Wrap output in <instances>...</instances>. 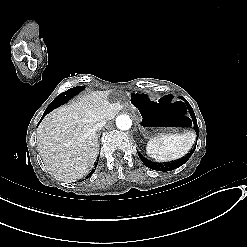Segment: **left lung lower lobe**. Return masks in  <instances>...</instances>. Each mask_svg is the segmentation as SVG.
<instances>
[{
  "label": "left lung lower lobe",
  "instance_id": "obj_1",
  "mask_svg": "<svg viewBox=\"0 0 247 247\" xmlns=\"http://www.w3.org/2000/svg\"><path fill=\"white\" fill-rule=\"evenodd\" d=\"M188 109H189L191 117L193 119L195 131L197 133V138H198L199 130H198L196 117H195V114H194L192 107L189 104H188ZM195 147H196V145H195ZM194 150H195V148L186 157H184L183 159H181L179 161H175V162H171V163H164V164L150 162L147 159H145L140 153H138V155H139L140 159L142 160V162L144 163V165L150 169H153L156 171H171V170H174V169L182 166L184 163H186L188 161V159L191 157V155L193 154Z\"/></svg>",
  "mask_w": 247,
  "mask_h": 247
}]
</instances>
